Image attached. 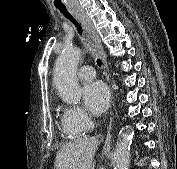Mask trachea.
Listing matches in <instances>:
<instances>
[{"label":"trachea","mask_w":177,"mask_h":169,"mask_svg":"<svg viewBox=\"0 0 177 169\" xmlns=\"http://www.w3.org/2000/svg\"><path fill=\"white\" fill-rule=\"evenodd\" d=\"M59 11L68 18L77 28L79 34H82V29L80 24L73 18V16L67 11L66 7H58ZM102 64L100 59H97V65L100 67Z\"/></svg>","instance_id":"1"}]
</instances>
